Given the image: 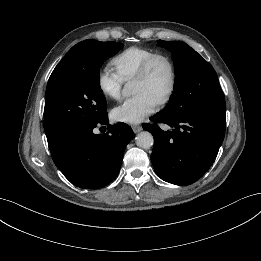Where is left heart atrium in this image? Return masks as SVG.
<instances>
[{"mask_svg": "<svg viewBox=\"0 0 261 261\" xmlns=\"http://www.w3.org/2000/svg\"><path fill=\"white\" fill-rule=\"evenodd\" d=\"M157 107V101L146 93H138L114 107L111 117L116 122L137 124L151 115Z\"/></svg>", "mask_w": 261, "mask_h": 261, "instance_id": "left-heart-atrium-1", "label": "left heart atrium"}]
</instances>
